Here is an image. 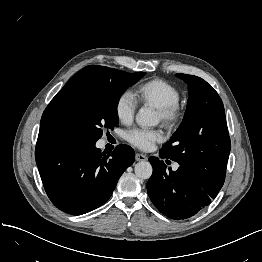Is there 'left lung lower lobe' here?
<instances>
[{"mask_svg":"<svg viewBox=\"0 0 262 262\" xmlns=\"http://www.w3.org/2000/svg\"><path fill=\"white\" fill-rule=\"evenodd\" d=\"M149 161L153 173L146 185L147 193L154 206L170 219L183 220L196 215L211 203L224 183L222 180L219 185H210L181 166L176 171L167 170L157 157H150Z\"/></svg>","mask_w":262,"mask_h":262,"instance_id":"obj_1","label":"left lung lower lobe"}]
</instances>
